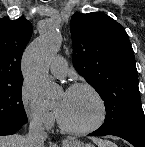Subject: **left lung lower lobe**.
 Listing matches in <instances>:
<instances>
[{
	"label": "left lung lower lobe",
	"instance_id": "left-lung-lower-lobe-1",
	"mask_svg": "<svg viewBox=\"0 0 145 147\" xmlns=\"http://www.w3.org/2000/svg\"><path fill=\"white\" fill-rule=\"evenodd\" d=\"M90 136H105L114 135L119 136L128 142H130L134 147H145V127H132L124 128L115 131H102L100 129L89 134Z\"/></svg>",
	"mask_w": 145,
	"mask_h": 147
}]
</instances>
